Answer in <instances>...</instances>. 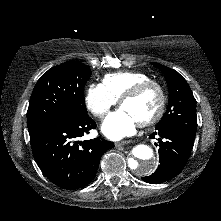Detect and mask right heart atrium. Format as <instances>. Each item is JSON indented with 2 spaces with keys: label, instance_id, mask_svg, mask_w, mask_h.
Returning <instances> with one entry per match:
<instances>
[{
  "label": "right heart atrium",
  "instance_id": "d8ad5b80",
  "mask_svg": "<svg viewBox=\"0 0 221 221\" xmlns=\"http://www.w3.org/2000/svg\"><path fill=\"white\" fill-rule=\"evenodd\" d=\"M85 102L88 110L97 118L103 119L118 100L101 84H91L86 91Z\"/></svg>",
  "mask_w": 221,
  "mask_h": 221
}]
</instances>
